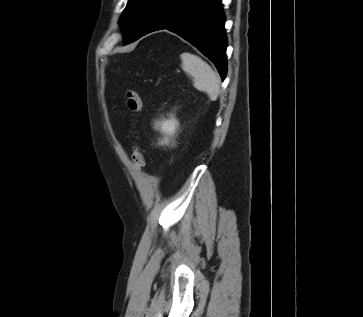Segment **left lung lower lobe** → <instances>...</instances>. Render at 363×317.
Listing matches in <instances>:
<instances>
[{
    "label": "left lung lower lobe",
    "instance_id": "0a47b994",
    "mask_svg": "<svg viewBox=\"0 0 363 317\" xmlns=\"http://www.w3.org/2000/svg\"><path fill=\"white\" fill-rule=\"evenodd\" d=\"M224 20L221 0H158L140 37L162 29L178 34L206 55L224 80L227 72Z\"/></svg>",
    "mask_w": 363,
    "mask_h": 317
}]
</instances>
